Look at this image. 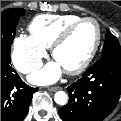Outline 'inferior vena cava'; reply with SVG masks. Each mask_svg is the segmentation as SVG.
<instances>
[{
    "mask_svg": "<svg viewBox=\"0 0 121 121\" xmlns=\"http://www.w3.org/2000/svg\"><path fill=\"white\" fill-rule=\"evenodd\" d=\"M30 70H31V68H29V67H23L21 72L22 73H28Z\"/></svg>",
    "mask_w": 121,
    "mask_h": 121,
    "instance_id": "602c4592",
    "label": "inferior vena cava"
}]
</instances>
